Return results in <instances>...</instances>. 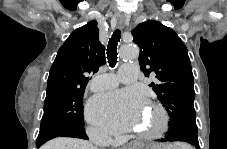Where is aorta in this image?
Masks as SVG:
<instances>
[{"label":"aorta","instance_id":"obj_1","mask_svg":"<svg viewBox=\"0 0 227 149\" xmlns=\"http://www.w3.org/2000/svg\"><path fill=\"white\" fill-rule=\"evenodd\" d=\"M138 56V49L133 46H124L121 50L120 57L124 60H133Z\"/></svg>","mask_w":227,"mask_h":149}]
</instances>
